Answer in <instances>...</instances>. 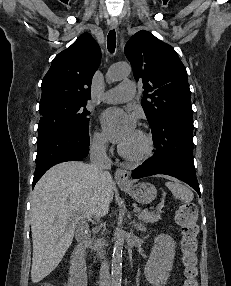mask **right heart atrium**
I'll list each match as a JSON object with an SVG mask.
<instances>
[{
	"label": "right heart atrium",
	"instance_id": "obj_1",
	"mask_svg": "<svg viewBox=\"0 0 231 286\" xmlns=\"http://www.w3.org/2000/svg\"><path fill=\"white\" fill-rule=\"evenodd\" d=\"M91 144L97 151H106L108 148V139L106 134L102 131H95L92 136Z\"/></svg>",
	"mask_w": 231,
	"mask_h": 286
}]
</instances>
